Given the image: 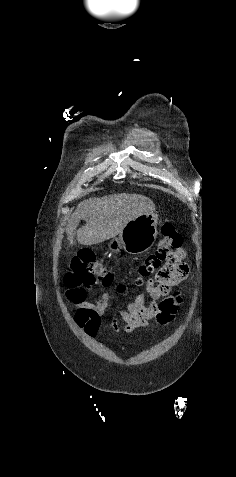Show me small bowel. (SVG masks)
<instances>
[{
    "label": "small bowel",
    "instance_id": "c3829d8e",
    "mask_svg": "<svg viewBox=\"0 0 236 477\" xmlns=\"http://www.w3.org/2000/svg\"><path fill=\"white\" fill-rule=\"evenodd\" d=\"M186 272V266L183 264L182 276L174 283L183 280ZM146 291L149 294L150 301L147 302L142 293L130 298L124 308L117 310L116 315L109 324V328L117 330L122 325L126 333H132L138 328L148 327L151 320H155L159 326L169 325L181 303L180 296H169V293H163L156 287L155 280L147 281ZM68 298L77 307L74 315V322L77 327L88 336L96 337L102 326V316L111 301L110 294L103 292L99 300L94 303L86 301L75 302L70 296Z\"/></svg>",
    "mask_w": 236,
    "mask_h": 477
}]
</instances>
